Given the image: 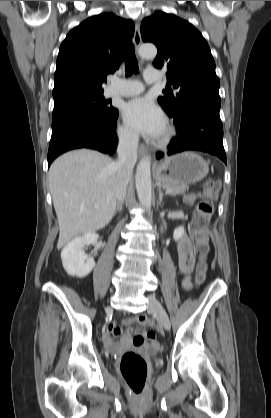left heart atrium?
<instances>
[{"mask_svg":"<svg viewBox=\"0 0 271 418\" xmlns=\"http://www.w3.org/2000/svg\"><path fill=\"white\" fill-rule=\"evenodd\" d=\"M125 123L136 133L156 138L166 126L162 111L148 98H136L123 107Z\"/></svg>","mask_w":271,"mask_h":418,"instance_id":"obj_1","label":"left heart atrium"}]
</instances>
